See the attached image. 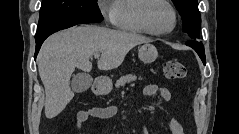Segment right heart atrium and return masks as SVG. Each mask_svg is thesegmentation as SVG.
Listing matches in <instances>:
<instances>
[{
	"label": "right heart atrium",
	"mask_w": 239,
	"mask_h": 134,
	"mask_svg": "<svg viewBox=\"0 0 239 134\" xmlns=\"http://www.w3.org/2000/svg\"><path fill=\"white\" fill-rule=\"evenodd\" d=\"M99 10L108 24H114L116 18L115 2L102 0L99 2Z\"/></svg>",
	"instance_id": "obj_1"
}]
</instances>
